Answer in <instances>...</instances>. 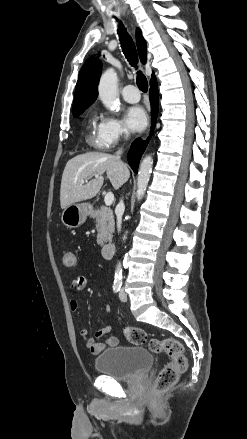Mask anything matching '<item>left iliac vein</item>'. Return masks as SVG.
Masks as SVG:
<instances>
[{
	"instance_id": "4c4485c4",
	"label": "left iliac vein",
	"mask_w": 247,
	"mask_h": 439,
	"mask_svg": "<svg viewBox=\"0 0 247 439\" xmlns=\"http://www.w3.org/2000/svg\"><path fill=\"white\" fill-rule=\"evenodd\" d=\"M119 298L121 301L126 302L127 301V294L125 292V290L122 288L120 293H119Z\"/></svg>"
}]
</instances>
